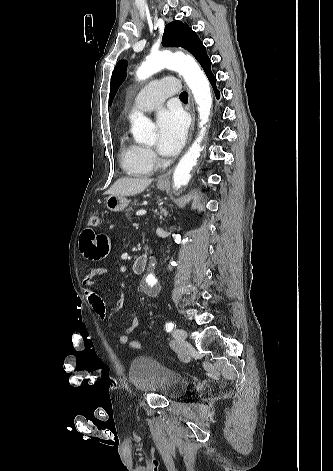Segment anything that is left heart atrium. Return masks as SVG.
I'll return each instance as SVG.
<instances>
[{
    "instance_id": "obj_1",
    "label": "left heart atrium",
    "mask_w": 333,
    "mask_h": 471,
    "mask_svg": "<svg viewBox=\"0 0 333 471\" xmlns=\"http://www.w3.org/2000/svg\"><path fill=\"white\" fill-rule=\"evenodd\" d=\"M187 120L184 114L176 109H166L157 116L158 140L157 150L165 156L179 152L187 135Z\"/></svg>"
}]
</instances>
